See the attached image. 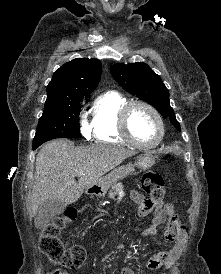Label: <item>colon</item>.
<instances>
[{
	"label": "colon",
	"instance_id": "5ec220e1",
	"mask_svg": "<svg viewBox=\"0 0 221 274\" xmlns=\"http://www.w3.org/2000/svg\"><path fill=\"white\" fill-rule=\"evenodd\" d=\"M142 188L148 195V198L154 201H161L165 195L164 180L161 175L154 172H147L143 175ZM76 216V209L69 208L63 215L56 216L44 223L40 231V250L54 264L67 270L81 267L87 256L84 248L78 245L66 246L59 237L65 226L74 221ZM55 274L69 273L59 270Z\"/></svg>",
	"mask_w": 221,
	"mask_h": 274
}]
</instances>
